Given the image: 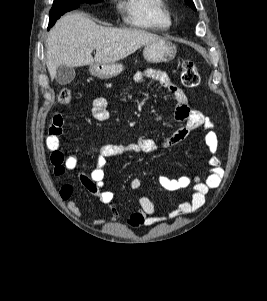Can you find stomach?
<instances>
[{
	"mask_svg": "<svg viewBox=\"0 0 267 301\" xmlns=\"http://www.w3.org/2000/svg\"><path fill=\"white\" fill-rule=\"evenodd\" d=\"M177 53L176 46L169 40L159 38L157 41L146 44L143 50L144 59L151 63L172 61ZM124 67L120 63L94 64L90 72L100 79H109L119 75Z\"/></svg>",
	"mask_w": 267,
	"mask_h": 301,
	"instance_id": "1",
	"label": "stomach"
}]
</instances>
